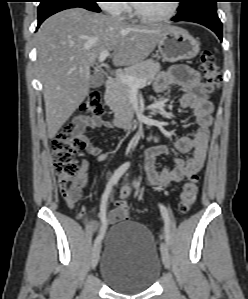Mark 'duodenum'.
I'll list each match as a JSON object with an SVG mask.
<instances>
[{"instance_id":"duodenum-1","label":"duodenum","mask_w":248,"mask_h":299,"mask_svg":"<svg viewBox=\"0 0 248 299\" xmlns=\"http://www.w3.org/2000/svg\"><path fill=\"white\" fill-rule=\"evenodd\" d=\"M105 88L108 94L112 93L115 88V80L108 78L105 82ZM136 118L135 112L118 113L111 118V122L116 126H129Z\"/></svg>"}]
</instances>
